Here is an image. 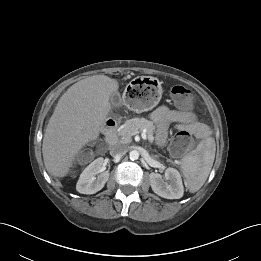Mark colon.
<instances>
[{"mask_svg":"<svg viewBox=\"0 0 261 261\" xmlns=\"http://www.w3.org/2000/svg\"><path fill=\"white\" fill-rule=\"evenodd\" d=\"M171 95L174 102L183 108H189L193 105V94L184 86H173L171 88ZM194 144L191 136V132L188 130H182L176 134L171 143V151L175 155H182L188 151ZM89 153H84L81 158L88 159Z\"/></svg>","mask_w":261,"mask_h":261,"instance_id":"1","label":"colon"}]
</instances>
